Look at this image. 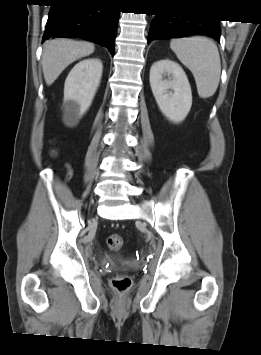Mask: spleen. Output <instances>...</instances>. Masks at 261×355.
I'll use <instances>...</instances> for the list:
<instances>
[{
    "label": "spleen",
    "mask_w": 261,
    "mask_h": 355,
    "mask_svg": "<svg viewBox=\"0 0 261 355\" xmlns=\"http://www.w3.org/2000/svg\"><path fill=\"white\" fill-rule=\"evenodd\" d=\"M170 48L193 74L199 97L213 96L218 88L221 61L218 48L202 36L172 39Z\"/></svg>",
    "instance_id": "spleen-1"
}]
</instances>
